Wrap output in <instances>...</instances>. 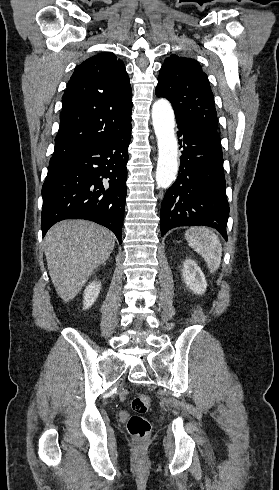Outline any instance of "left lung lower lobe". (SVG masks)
I'll return each instance as SVG.
<instances>
[{
    "instance_id": "left-lung-lower-lobe-1",
    "label": "left lung lower lobe",
    "mask_w": 279,
    "mask_h": 490,
    "mask_svg": "<svg viewBox=\"0 0 279 490\" xmlns=\"http://www.w3.org/2000/svg\"><path fill=\"white\" fill-rule=\"evenodd\" d=\"M180 148L178 179L161 206V236L179 226H208L227 240L229 206L217 130L176 119Z\"/></svg>"
}]
</instances>
